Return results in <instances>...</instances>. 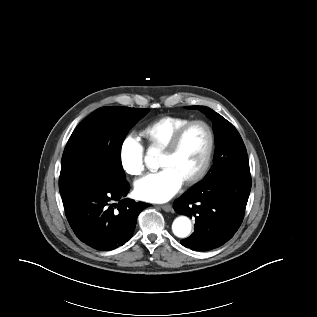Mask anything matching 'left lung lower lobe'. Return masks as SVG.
<instances>
[{
    "mask_svg": "<svg viewBox=\"0 0 317 317\" xmlns=\"http://www.w3.org/2000/svg\"><path fill=\"white\" fill-rule=\"evenodd\" d=\"M251 190L250 173H231L199 183L175 200L177 213L195 217L193 234L181 240L192 250H211L229 241L240 227Z\"/></svg>",
    "mask_w": 317,
    "mask_h": 317,
    "instance_id": "0a47b994",
    "label": "left lung lower lobe"
}]
</instances>
